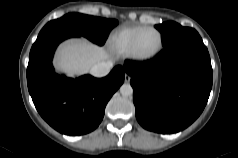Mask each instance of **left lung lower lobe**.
<instances>
[{
  "label": "left lung lower lobe",
  "instance_id": "obj_1",
  "mask_svg": "<svg viewBox=\"0 0 238 158\" xmlns=\"http://www.w3.org/2000/svg\"><path fill=\"white\" fill-rule=\"evenodd\" d=\"M136 118L150 131H181L202 113L212 88V67L198 33L179 39L151 61L126 60Z\"/></svg>",
  "mask_w": 238,
  "mask_h": 158
}]
</instances>
